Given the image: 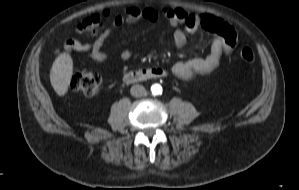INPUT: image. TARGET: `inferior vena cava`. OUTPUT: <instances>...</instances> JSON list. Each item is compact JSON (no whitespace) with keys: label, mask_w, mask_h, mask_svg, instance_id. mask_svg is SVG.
<instances>
[{"label":"inferior vena cava","mask_w":299,"mask_h":190,"mask_svg":"<svg viewBox=\"0 0 299 190\" xmlns=\"http://www.w3.org/2000/svg\"><path fill=\"white\" fill-rule=\"evenodd\" d=\"M130 92L134 97H141L146 94V89L142 85H134L131 87Z\"/></svg>","instance_id":"1"}]
</instances>
